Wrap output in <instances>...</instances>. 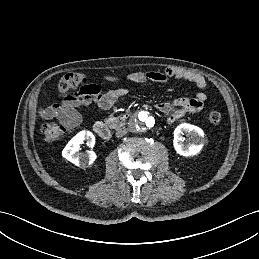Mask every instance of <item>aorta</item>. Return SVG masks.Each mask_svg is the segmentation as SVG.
<instances>
[{"instance_id":"aorta-1","label":"aorta","mask_w":259,"mask_h":259,"mask_svg":"<svg viewBox=\"0 0 259 259\" xmlns=\"http://www.w3.org/2000/svg\"><path fill=\"white\" fill-rule=\"evenodd\" d=\"M155 119L153 115L148 111H141L136 114L131 120V126L135 130H146L154 126Z\"/></svg>"}]
</instances>
